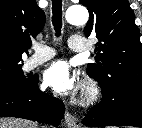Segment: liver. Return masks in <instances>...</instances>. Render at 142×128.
<instances>
[{"instance_id": "6515ba94", "label": "liver", "mask_w": 142, "mask_h": 128, "mask_svg": "<svg viewBox=\"0 0 142 128\" xmlns=\"http://www.w3.org/2000/svg\"><path fill=\"white\" fill-rule=\"evenodd\" d=\"M0 128H38V124L27 119L0 118Z\"/></svg>"}]
</instances>
